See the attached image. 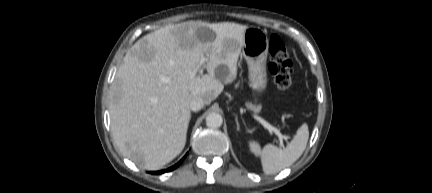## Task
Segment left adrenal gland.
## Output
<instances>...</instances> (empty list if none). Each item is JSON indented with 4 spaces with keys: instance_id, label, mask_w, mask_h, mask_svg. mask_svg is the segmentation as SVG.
Returning a JSON list of instances; mask_svg holds the SVG:
<instances>
[{
    "instance_id": "left-adrenal-gland-1",
    "label": "left adrenal gland",
    "mask_w": 432,
    "mask_h": 193,
    "mask_svg": "<svg viewBox=\"0 0 432 193\" xmlns=\"http://www.w3.org/2000/svg\"><path fill=\"white\" fill-rule=\"evenodd\" d=\"M235 121H236V125H237V130L239 131V130H240V125H239V122H238V118H237V116H236V118H235Z\"/></svg>"
}]
</instances>
